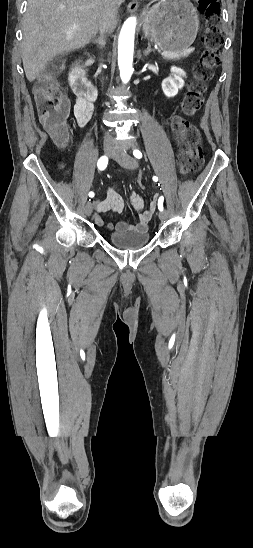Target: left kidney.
<instances>
[{
  "label": "left kidney",
  "instance_id": "1",
  "mask_svg": "<svg viewBox=\"0 0 253 548\" xmlns=\"http://www.w3.org/2000/svg\"><path fill=\"white\" fill-rule=\"evenodd\" d=\"M183 77H186V73L183 69L176 66L171 67L170 76L162 81V90L167 97L176 96L178 90L183 88Z\"/></svg>",
  "mask_w": 253,
  "mask_h": 548
}]
</instances>
